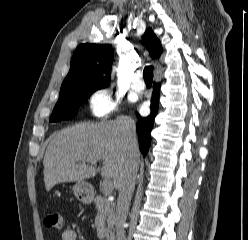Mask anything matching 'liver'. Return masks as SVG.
Masks as SVG:
<instances>
[{"label":"liver","instance_id":"6515ba94","mask_svg":"<svg viewBox=\"0 0 248 240\" xmlns=\"http://www.w3.org/2000/svg\"><path fill=\"white\" fill-rule=\"evenodd\" d=\"M134 122L128 117L100 123H79L56 133L43 160L47 191L62 182H78L94 177L98 170L87 160H102L101 175L112 178L117 189L124 172L129 150L126 127ZM139 162L138 146L134 152Z\"/></svg>","mask_w":248,"mask_h":240}]
</instances>
